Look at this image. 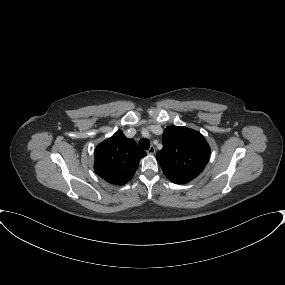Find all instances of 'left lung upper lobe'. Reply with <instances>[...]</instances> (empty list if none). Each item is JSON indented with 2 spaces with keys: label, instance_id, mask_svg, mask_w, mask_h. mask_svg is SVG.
Segmentation results:
<instances>
[{
  "label": "left lung upper lobe",
  "instance_id": "5c2ea615",
  "mask_svg": "<svg viewBox=\"0 0 285 285\" xmlns=\"http://www.w3.org/2000/svg\"><path fill=\"white\" fill-rule=\"evenodd\" d=\"M163 149L157 161L168 179L191 181L205 168L210 147L203 135L195 130L170 126L164 130Z\"/></svg>",
  "mask_w": 285,
  "mask_h": 285
}]
</instances>
